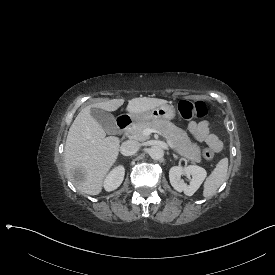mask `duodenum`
<instances>
[{"mask_svg": "<svg viewBox=\"0 0 275 275\" xmlns=\"http://www.w3.org/2000/svg\"><path fill=\"white\" fill-rule=\"evenodd\" d=\"M132 123V118L129 115H122L117 119V127L120 132H124Z\"/></svg>", "mask_w": 275, "mask_h": 275, "instance_id": "duodenum-1", "label": "duodenum"}]
</instances>
